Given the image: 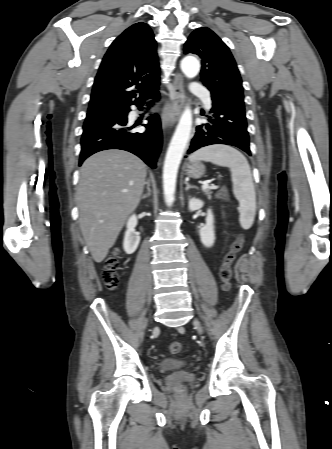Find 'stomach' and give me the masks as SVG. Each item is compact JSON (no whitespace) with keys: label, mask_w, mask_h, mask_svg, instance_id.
Instances as JSON below:
<instances>
[{"label":"stomach","mask_w":332,"mask_h":449,"mask_svg":"<svg viewBox=\"0 0 332 449\" xmlns=\"http://www.w3.org/2000/svg\"><path fill=\"white\" fill-rule=\"evenodd\" d=\"M205 173V166L200 162H191L186 167V174L189 177L198 179Z\"/></svg>","instance_id":"stomach-1"}]
</instances>
